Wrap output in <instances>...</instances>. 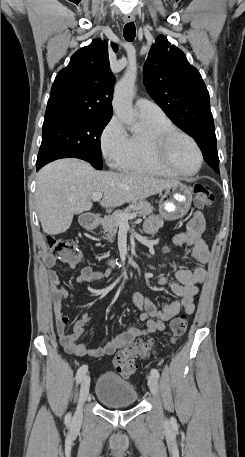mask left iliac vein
I'll use <instances>...</instances> for the list:
<instances>
[{
    "label": "left iliac vein",
    "mask_w": 245,
    "mask_h": 457,
    "mask_svg": "<svg viewBox=\"0 0 245 457\" xmlns=\"http://www.w3.org/2000/svg\"><path fill=\"white\" fill-rule=\"evenodd\" d=\"M148 381H149V388H150V391H151L152 395L155 398H158V396H159V387H158L157 378L154 375L151 374L148 377Z\"/></svg>",
    "instance_id": "obj_1"
}]
</instances>
